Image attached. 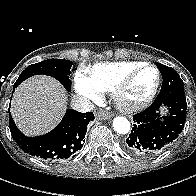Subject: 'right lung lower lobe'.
Listing matches in <instances>:
<instances>
[{
  "mask_svg": "<svg viewBox=\"0 0 196 196\" xmlns=\"http://www.w3.org/2000/svg\"><path fill=\"white\" fill-rule=\"evenodd\" d=\"M93 119L92 112L80 113L68 109L63 120L54 130L42 136L27 137L16 127L9 114V128L12 138L26 153L52 161L74 156L82 148L87 125Z\"/></svg>",
  "mask_w": 196,
  "mask_h": 196,
  "instance_id": "1",
  "label": "right lung lower lobe"
}]
</instances>
